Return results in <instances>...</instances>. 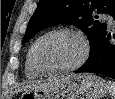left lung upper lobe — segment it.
<instances>
[{
  "label": "left lung upper lobe",
  "instance_id": "5c2ea615",
  "mask_svg": "<svg viewBox=\"0 0 115 99\" xmlns=\"http://www.w3.org/2000/svg\"><path fill=\"white\" fill-rule=\"evenodd\" d=\"M115 15V0H39L23 39L26 43L39 31L57 24H73L89 38L92 53L106 33V24L93 18L97 14Z\"/></svg>",
  "mask_w": 115,
  "mask_h": 99
}]
</instances>
